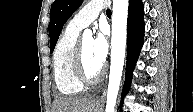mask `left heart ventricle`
Returning <instances> with one entry per match:
<instances>
[{
    "label": "left heart ventricle",
    "instance_id": "1",
    "mask_svg": "<svg viewBox=\"0 0 193 112\" xmlns=\"http://www.w3.org/2000/svg\"><path fill=\"white\" fill-rule=\"evenodd\" d=\"M84 65L87 73L91 76H95L99 73L102 65L97 62L93 54V40L86 38L82 40Z\"/></svg>",
    "mask_w": 193,
    "mask_h": 112
}]
</instances>
